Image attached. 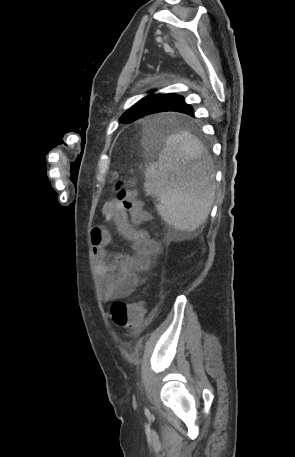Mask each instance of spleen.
Instances as JSON below:
<instances>
[{
    "instance_id": "spleen-1",
    "label": "spleen",
    "mask_w": 295,
    "mask_h": 457,
    "mask_svg": "<svg viewBox=\"0 0 295 457\" xmlns=\"http://www.w3.org/2000/svg\"><path fill=\"white\" fill-rule=\"evenodd\" d=\"M203 153L199 139L182 132L169 136L158 161L146 168L145 191L157 198L160 216L177 230H196L213 205V175Z\"/></svg>"
}]
</instances>
